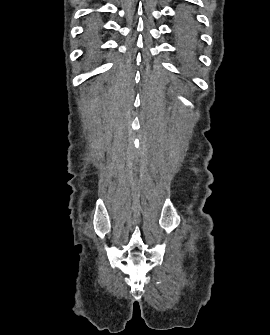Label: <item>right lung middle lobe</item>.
<instances>
[{
	"mask_svg": "<svg viewBox=\"0 0 270 335\" xmlns=\"http://www.w3.org/2000/svg\"><path fill=\"white\" fill-rule=\"evenodd\" d=\"M94 27V25H91V28H93Z\"/></svg>",
	"mask_w": 270,
	"mask_h": 335,
	"instance_id": "dd1d6c3e",
	"label": "right lung middle lobe"
}]
</instances>
